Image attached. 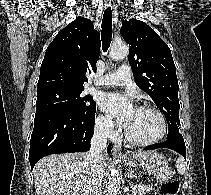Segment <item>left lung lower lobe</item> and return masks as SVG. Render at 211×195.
I'll return each instance as SVG.
<instances>
[{"label": "left lung lower lobe", "instance_id": "0a47b994", "mask_svg": "<svg viewBox=\"0 0 211 195\" xmlns=\"http://www.w3.org/2000/svg\"><path fill=\"white\" fill-rule=\"evenodd\" d=\"M157 148H169V149L175 150L185 158L186 147H185L184 139L180 133H177L175 135L168 137L165 142L151 145L145 148L144 150H153Z\"/></svg>", "mask_w": 211, "mask_h": 195}]
</instances>
